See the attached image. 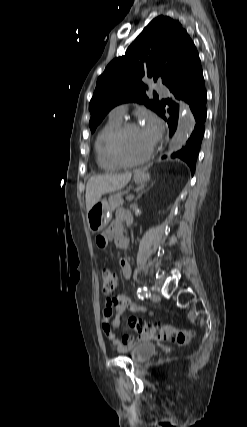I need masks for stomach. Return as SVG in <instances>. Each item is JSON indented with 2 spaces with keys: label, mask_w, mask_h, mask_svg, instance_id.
I'll use <instances>...</instances> for the list:
<instances>
[{
  "label": "stomach",
  "mask_w": 247,
  "mask_h": 427,
  "mask_svg": "<svg viewBox=\"0 0 247 427\" xmlns=\"http://www.w3.org/2000/svg\"><path fill=\"white\" fill-rule=\"evenodd\" d=\"M145 174H137L134 180L138 184H143L148 180ZM111 207L106 199L99 200L92 208L87 211V222L92 232L103 230L108 224L111 217Z\"/></svg>",
  "instance_id": "stomach-1"
}]
</instances>
